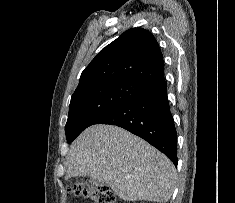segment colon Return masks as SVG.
<instances>
[{"label":"colon","mask_w":235,"mask_h":203,"mask_svg":"<svg viewBox=\"0 0 235 203\" xmlns=\"http://www.w3.org/2000/svg\"><path fill=\"white\" fill-rule=\"evenodd\" d=\"M71 190L74 194L88 198L93 203H116L114 193L106 185L76 183Z\"/></svg>","instance_id":"1"}]
</instances>
